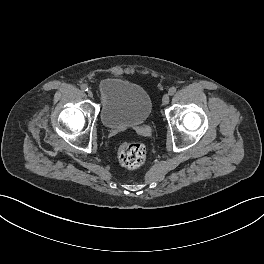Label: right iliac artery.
Wrapping results in <instances>:
<instances>
[{"label": "right iliac artery", "instance_id": "82829eb1", "mask_svg": "<svg viewBox=\"0 0 264 264\" xmlns=\"http://www.w3.org/2000/svg\"><path fill=\"white\" fill-rule=\"evenodd\" d=\"M81 89H82L83 91H88V86H87L86 84H82V85H81Z\"/></svg>", "mask_w": 264, "mask_h": 264}]
</instances>
